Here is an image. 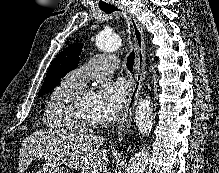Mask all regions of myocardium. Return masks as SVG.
<instances>
[{
	"label": "myocardium",
	"instance_id": "obj_1",
	"mask_svg": "<svg viewBox=\"0 0 219 173\" xmlns=\"http://www.w3.org/2000/svg\"><path fill=\"white\" fill-rule=\"evenodd\" d=\"M87 91H81L78 93L71 103V113L74 120L86 130H92L102 125L101 121L90 119L84 112L82 107V100Z\"/></svg>",
	"mask_w": 219,
	"mask_h": 173
}]
</instances>
